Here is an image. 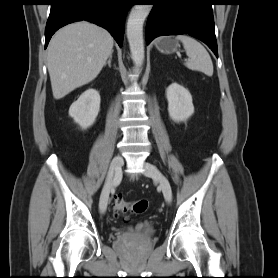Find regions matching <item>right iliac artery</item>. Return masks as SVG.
<instances>
[{
	"label": "right iliac artery",
	"instance_id": "82829eb1",
	"mask_svg": "<svg viewBox=\"0 0 278 278\" xmlns=\"http://www.w3.org/2000/svg\"><path fill=\"white\" fill-rule=\"evenodd\" d=\"M121 178H122V173H121V170H118L116 173H115V177L113 179V184L116 186L120 183L121 181Z\"/></svg>",
	"mask_w": 278,
	"mask_h": 278
}]
</instances>
